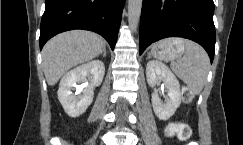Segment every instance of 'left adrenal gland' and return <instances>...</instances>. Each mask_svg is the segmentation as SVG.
I'll return each mask as SVG.
<instances>
[{
    "label": "left adrenal gland",
    "instance_id": "1",
    "mask_svg": "<svg viewBox=\"0 0 243 145\" xmlns=\"http://www.w3.org/2000/svg\"><path fill=\"white\" fill-rule=\"evenodd\" d=\"M150 58V54H148V57H147V59H149Z\"/></svg>",
    "mask_w": 243,
    "mask_h": 145
}]
</instances>
